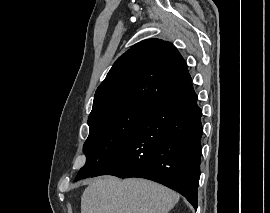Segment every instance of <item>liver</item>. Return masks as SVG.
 I'll use <instances>...</instances> for the list:
<instances>
[{
	"label": "liver",
	"mask_w": 270,
	"mask_h": 213,
	"mask_svg": "<svg viewBox=\"0 0 270 213\" xmlns=\"http://www.w3.org/2000/svg\"><path fill=\"white\" fill-rule=\"evenodd\" d=\"M178 201L176 192L155 182L106 176L84 190L81 213H168Z\"/></svg>",
	"instance_id": "obj_1"
}]
</instances>
